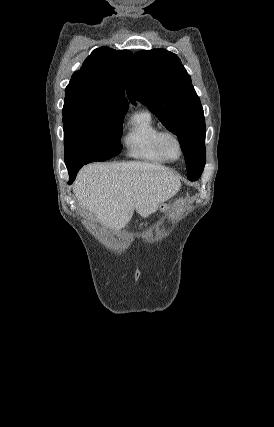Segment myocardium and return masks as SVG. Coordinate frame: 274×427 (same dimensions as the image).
Returning <instances> with one entry per match:
<instances>
[{
    "label": "myocardium",
    "mask_w": 274,
    "mask_h": 427,
    "mask_svg": "<svg viewBox=\"0 0 274 427\" xmlns=\"http://www.w3.org/2000/svg\"><path fill=\"white\" fill-rule=\"evenodd\" d=\"M167 137H172L177 141L179 149H180V155L178 158H173L167 153L166 148H165V139ZM157 145H158V148H159L161 154L163 155V157L169 162L181 161L185 155V146H184L183 140L173 130L165 129V130L160 131L158 134V137H157Z\"/></svg>",
    "instance_id": "obj_1"
}]
</instances>
